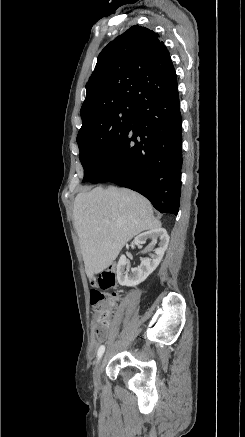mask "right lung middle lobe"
I'll return each instance as SVG.
<instances>
[{"label": "right lung middle lobe", "mask_w": 245, "mask_h": 437, "mask_svg": "<svg viewBox=\"0 0 245 437\" xmlns=\"http://www.w3.org/2000/svg\"><path fill=\"white\" fill-rule=\"evenodd\" d=\"M136 105L116 104L101 109L86 121L77 135L84 180L110 155L128 128Z\"/></svg>", "instance_id": "dd1d6c3e"}]
</instances>
